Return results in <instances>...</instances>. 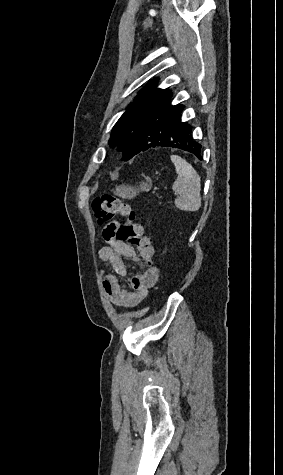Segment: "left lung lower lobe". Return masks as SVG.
Here are the masks:
<instances>
[{
  "label": "left lung lower lobe",
  "mask_w": 283,
  "mask_h": 475,
  "mask_svg": "<svg viewBox=\"0 0 283 475\" xmlns=\"http://www.w3.org/2000/svg\"><path fill=\"white\" fill-rule=\"evenodd\" d=\"M172 93L151 111L140 134H123L114 146L123 152L125 160L156 147H172L188 151L201 159L202 145L193 139L192 127L182 122L184 105H171Z\"/></svg>",
  "instance_id": "left-lung-lower-lobe-1"
}]
</instances>
